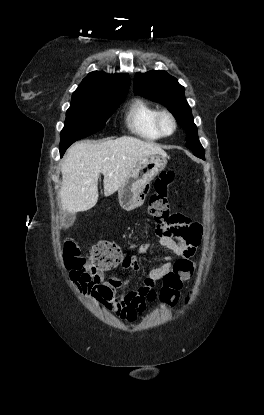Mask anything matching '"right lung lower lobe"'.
I'll list each match as a JSON object with an SVG mask.
<instances>
[{"label":"right lung lower lobe","instance_id":"obj_1","mask_svg":"<svg viewBox=\"0 0 264 415\" xmlns=\"http://www.w3.org/2000/svg\"><path fill=\"white\" fill-rule=\"evenodd\" d=\"M66 149L60 150V155L63 156V154L65 153Z\"/></svg>","mask_w":264,"mask_h":415}]
</instances>
